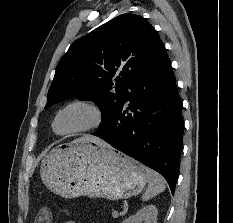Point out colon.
<instances>
[{"mask_svg": "<svg viewBox=\"0 0 233 223\" xmlns=\"http://www.w3.org/2000/svg\"><path fill=\"white\" fill-rule=\"evenodd\" d=\"M37 223H50V211L48 209L44 208L39 212Z\"/></svg>", "mask_w": 233, "mask_h": 223, "instance_id": "obj_1", "label": "colon"}]
</instances>
